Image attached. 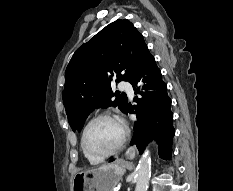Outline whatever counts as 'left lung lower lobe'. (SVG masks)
Returning a JSON list of instances; mask_svg holds the SVG:
<instances>
[{"instance_id": "left-lung-lower-lobe-1", "label": "left lung lower lobe", "mask_w": 233, "mask_h": 191, "mask_svg": "<svg viewBox=\"0 0 233 191\" xmlns=\"http://www.w3.org/2000/svg\"><path fill=\"white\" fill-rule=\"evenodd\" d=\"M135 93L142 97L135 98L137 115L135 134L130 145H136L139 154L150 139L155 138L159 148V157L168 160L172 152L173 113L170 110L171 99L167 95V85L161 79V71L156 66L154 57L149 54L128 81ZM133 112L127 107L126 112Z\"/></svg>"}]
</instances>
